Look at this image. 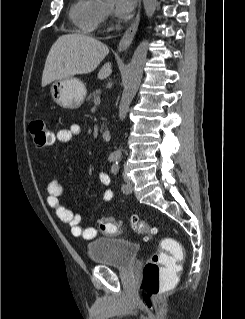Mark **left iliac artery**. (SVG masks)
Wrapping results in <instances>:
<instances>
[{"label":"left iliac artery","mask_w":245,"mask_h":319,"mask_svg":"<svg viewBox=\"0 0 245 319\" xmlns=\"http://www.w3.org/2000/svg\"><path fill=\"white\" fill-rule=\"evenodd\" d=\"M111 172L114 174V175H117L118 172H119V164L118 162L114 163L111 167ZM121 189L123 191L127 190V186L126 184H121Z\"/></svg>","instance_id":"obj_1"}]
</instances>
